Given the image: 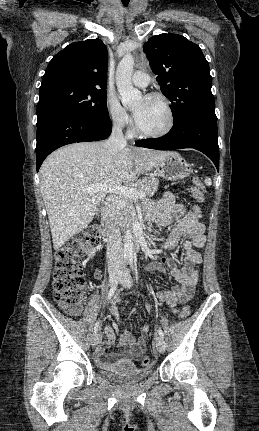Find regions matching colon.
Segmentation results:
<instances>
[{
	"instance_id": "colon-1",
	"label": "colon",
	"mask_w": 259,
	"mask_h": 431,
	"mask_svg": "<svg viewBox=\"0 0 259 431\" xmlns=\"http://www.w3.org/2000/svg\"><path fill=\"white\" fill-rule=\"evenodd\" d=\"M205 186L199 177H194L191 188L192 197L198 201H204ZM192 218H201L199 203L191 204ZM101 239V230L98 227H90L78 236L69 239L55 255L53 295L59 307L70 315H78L81 310L82 300L85 294V276L81 264V257L89 251ZM190 314V307L185 305L179 312L181 319H186ZM142 365L147 367L152 364V359L146 356L142 359Z\"/></svg>"
}]
</instances>
